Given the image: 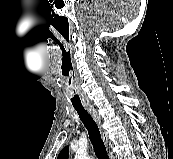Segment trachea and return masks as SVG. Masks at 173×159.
Returning a JSON list of instances; mask_svg holds the SVG:
<instances>
[{
    "mask_svg": "<svg viewBox=\"0 0 173 159\" xmlns=\"http://www.w3.org/2000/svg\"><path fill=\"white\" fill-rule=\"evenodd\" d=\"M81 121L86 127L90 141L93 145L94 152L98 159H109L106 151V147L101 138V134L96 122L93 120L92 116L84 108L76 109Z\"/></svg>",
    "mask_w": 173,
    "mask_h": 159,
    "instance_id": "3493384b",
    "label": "trachea"
}]
</instances>
